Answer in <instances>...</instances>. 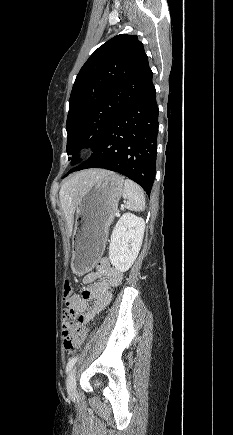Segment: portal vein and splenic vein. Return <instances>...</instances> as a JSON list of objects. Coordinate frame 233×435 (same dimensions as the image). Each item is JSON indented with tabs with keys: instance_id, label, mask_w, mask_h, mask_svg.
Listing matches in <instances>:
<instances>
[{
	"instance_id": "1",
	"label": "portal vein and splenic vein",
	"mask_w": 233,
	"mask_h": 435,
	"mask_svg": "<svg viewBox=\"0 0 233 435\" xmlns=\"http://www.w3.org/2000/svg\"><path fill=\"white\" fill-rule=\"evenodd\" d=\"M116 216H120V213H119V212H117V213H116Z\"/></svg>"
}]
</instances>
